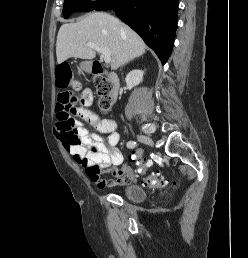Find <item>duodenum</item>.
<instances>
[{"label":"duodenum","mask_w":248,"mask_h":258,"mask_svg":"<svg viewBox=\"0 0 248 258\" xmlns=\"http://www.w3.org/2000/svg\"><path fill=\"white\" fill-rule=\"evenodd\" d=\"M92 72L94 76H99L103 74V69L100 61L93 62ZM107 77L112 84L111 96H112V100L115 102L117 100L118 93H119V85H120L119 78L115 72H108Z\"/></svg>","instance_id":"1"}]
</instances>
